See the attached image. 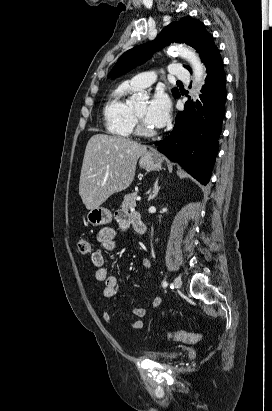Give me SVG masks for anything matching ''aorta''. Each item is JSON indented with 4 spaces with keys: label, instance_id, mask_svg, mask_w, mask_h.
I'll use <instances>...</instances> for the list:
<instances>
[{
    "label": "aorta",
    "instance_id": "762f6f07",
    "mask_svg": "<svg viewBox=\"0 0 272 411\" xmlns=\"http://www.w3.org/2000/svg\"><path fill=\"white\" fill-rule=\"evenodd\" d=\"M171 51L180 55L191 64L195 78V84L200 87V83L205 75V67L201 63L198 55L183 45H174L171 47Z\"/></svg>",
    "mask_w": 272,
    "mask_h": 411
}]
</instances>
